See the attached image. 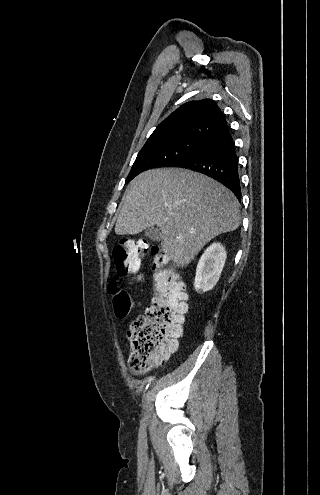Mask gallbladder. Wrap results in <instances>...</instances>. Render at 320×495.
<instances>
[{"instance_id":"obj_1","label":"gallbladder","mask_w":320,"mask_h":495,"mask_svg":"<svg viewBox=\"0 0 320 495\" xmlns=\"http://www.w3.org/2000/svg\"><path fill=\"white\" fill-rule=\"evenodd\" d=\"M145 236L152 241H158L161 239L162 233L161 230L156 227H149L145 231Z\"/></svg>"}]
</instances>
